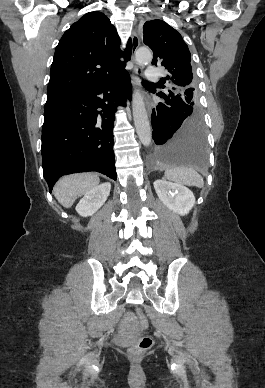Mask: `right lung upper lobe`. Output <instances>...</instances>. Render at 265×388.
<instances>
[{
	"label": "right lung upper lobe",
	"instance_id": "1",
	"mask_svg": "<svg viewBox=\"0 0 265 388\" xmlns=\"http://www.w3.org/2000/svg\"><path fill=\"white\" fill-rule=\"evenodd\" d=\"M119 45L117 30L104 13L89 12L72 24L55 50L47 101L108 82L123 72L132 42L125 52Z\"/></svg>",
	"mask_w": 265,
	"mask_h": 388
}]
</instances>
